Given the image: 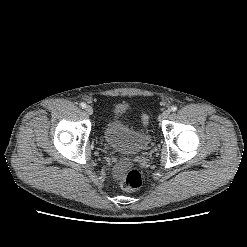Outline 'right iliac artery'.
I'll list each match as a JSON object with an SVG mask.
<instances>
[{
	"label": "right iliac artery",
	"instance_id": "right-iliac-artery-1",
	"mask_svg": "<svg viewBox=\"0 0 247 247\" xmlns=\"http://www.w3.org/2000/svg\"><path fill=\"white\" fill-rule=\"evenodd\" d=\"M80 107L85 108L86 104L82 102V103H80Z\"/></svg>",
	"mask_w": 247,
	"mask_h": 247
}]
</instances>
